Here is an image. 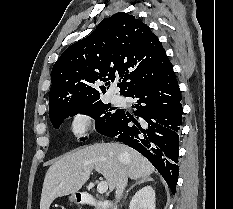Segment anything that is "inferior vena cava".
I'll use <instances>...</instances> for the list:
<instances>
[{
    "mask_svg": "<svg viewBox=\"0 0 233 209\" xmlns=\"http://www.w3.org/2000/svg\"><path fill=\"white\" fill-rule=\"evenodd\" d=\"M127 182H128V176L126 170L122 169L116 184V191H115L116 202H118L122 197ZM113 209H117V205H115Z\"/></svg>",
    "mask_w": 233,
    "mask_h": 209,
    "instance_id": "602c4592",
    "label": "inferior vena cava"
}]
</instances>
